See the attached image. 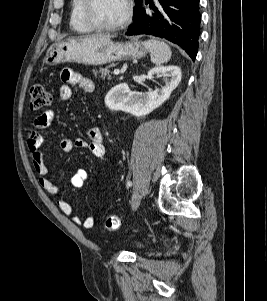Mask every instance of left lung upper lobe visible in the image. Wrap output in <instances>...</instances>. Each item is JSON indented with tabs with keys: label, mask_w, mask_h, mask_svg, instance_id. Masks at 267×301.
Wrapping results in <instances>:
<instances>
[{
	"label": "left lung upper lobe",
	"mask_w": 267,
	"mask_h": 301,
	"mask_svg": "<svg viewBox=\"0 0 267 301\" xmlns=\"http://www.w3.org/2000/svg\"><path fill=\"white\" fill-rule=\"evenodd\" d=\"M142 2H143V0H135L136 7H135L134 10H133V16H134V15L139 11V9L141 8Z\"/></svg>",
	"instance_id": "1"
}]
</instances>
